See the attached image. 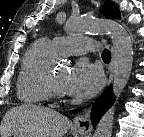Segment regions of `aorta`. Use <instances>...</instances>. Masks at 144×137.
<instances>
[{"label": "aorta", "instance_id": "aorta-1", "mask_svg": "<svg viewBox=\"0 0 144 137\" xmlns=\"http://www.w3.org/2000/svg\"><path fill=\"white\" fill-rule=\"evenodd\" d=\"M65 29L70 34L81 32L101 33L108 32L114 47L113 93L114 104L100 119L93 137H111L116 105L130 77L133 64L132 41L126 29L112 20L91 18H71L65 24Z\"/></svg>", "mask_w": 144, "mask_h": 137}]
</instances>
